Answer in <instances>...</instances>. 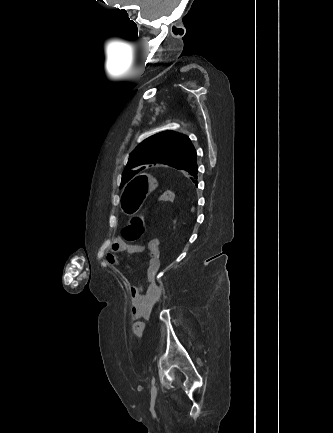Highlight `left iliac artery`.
<instances>
[{"instance_id":"44dca946","label":"left iliac artery","mask_w":333,"mask_h":433,"mask_svg":"<svg viewBox=\"0 0 333 433\" xmlns=\"http://www.w3.org/2000/svg\"><path fill=\"white\" fill-rule=\"evenodd\" d=\"M152 385L155 383V378L153 377L151 380Z\"/></svg>"}]
</instances>
